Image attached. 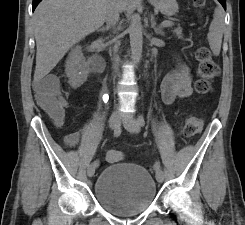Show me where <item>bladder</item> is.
Returning <instances> with one entry per match:
<instances>
[{
  "mask_svg": "<svg viewBox=\"0 0 245 225\" xmlns=\"http://www.w3.org/2000/svg\"><path fill=\"white\" fill-rule=\"evenodd\" d=\"M93 196L106 212L130 217L143 213L155 202L157 186L148 169L114 163L99 172L93 185Z\"/></svg>",
  "mask_w": 245,
  "mask_h": 225,
  "instance_id": "31cf9c89",
  "label": "bladder"
}]
</instances>
